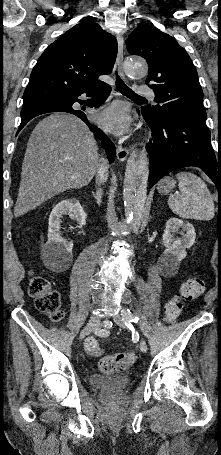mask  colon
Wrapping results in <instances>:
<instances>
[{
    "label": "colon",
    "mask_w": 221,
    "mask_h": 455,
    "mask_svg": "<svg viewBox=\"0 0 221 455\" xmlns=\"http://www.w3.org/2000/svg\"><path fill=\"white\" fill-rule=\"evenodd\" d=\"M204 281L200 278L185 280L178 293L173 296L164 307V319L173 323L181 314L184 303L201 296L204 292ZM28 294L35 299L36 308L51 321L59 322L64 313L61 297L50 281L40 274H33L29 280ZM85 350L88 355L97 357L102 352L101 345L93 338L85 341ZM133 352H124L108 355L100 359L98 366L104 373L122 372L129 369L135 362Z\"/></svg>",
    "instance_id": "obj_1"
}]
</instances>
